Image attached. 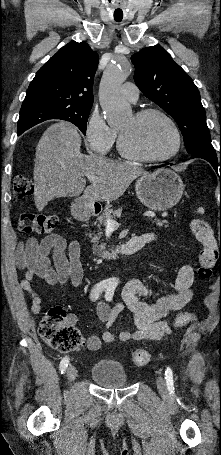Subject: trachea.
<instances>
[{
  "instance_id": "1",
  "label": "trachea",
  "mask_w": 221,
  "mask_h": 455,
  "mask_svg": "<svg viewBox=\"0 0 221 455\" xmlns=\"http://www.w3.org/2000/svg\"><path fill=\"white\" fill-rule=\"evenodd\" d=\"M116 21H118V22H119V21H121V19H116Z\"/></svg>"
}]
</instances>
